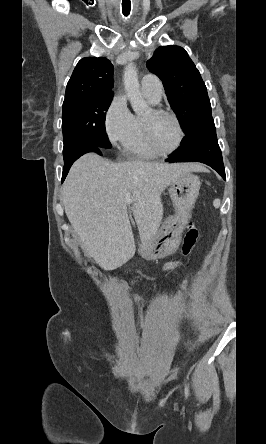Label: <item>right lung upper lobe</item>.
Returning <instances> with one entry per match:
<instances>
[{
    "mask_svg": "<svg viewBox=\"0 0 266 444\" xmlns=\"http://www.w3.org/2000/svg\"><path fill=\"white\" fill-rule=\"evenodd\" d=\"M113 65L104 58H83L68 81L64 103L103 94H113Z\"/></svg>",
    "mask_w": 266,
    "mask_h": 444,
    "instance_id": "obj_1",
    "label": "right lung upper lobe"
}]
</instances>
